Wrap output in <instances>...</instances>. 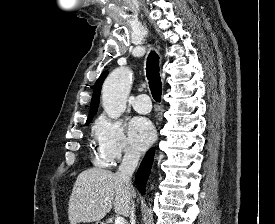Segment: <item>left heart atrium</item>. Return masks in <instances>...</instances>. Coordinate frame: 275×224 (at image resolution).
I'll return each instance as SVG.
<instances>
[{"mask_svg": "<svg viewBox=\"0 0 275 224\" xmlns=\"http://www.w3.org/2000/svg\"><path fill=\"white\" fill-rule=\"evenodd\" d=\"M155 129L152 123L142 117L134 118L129 125V140L136 150L146 149L154 140Z\"/></svg>", "mask_w": 275, "mask_h": 224, "instance_id": "left-heart-atrium-1", "label": "left heart atrium"}]
</instances>
